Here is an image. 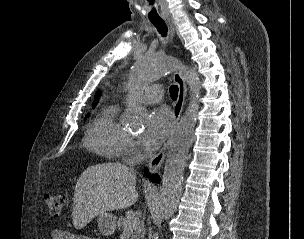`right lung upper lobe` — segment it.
Returning <instances> with one entry per match:
<instances>
[{
  "mask_svg": "<svg viewBox=\"0 0 304 239\" xmlns=\"http://www.w3.org/2000/svg\"><path fill=\"white\" fill-rule=\"evenodd\" d=\"M98 95H99V92L96 94V96H95V101H94V103H93V107H95V105L97 104V102H98Z\"/></svg>",
  "mask_w": 304,
  "mask_h": 239,
  "instance_id": "1",
  "label": "right lung upper lobe"
}]
</instances>
